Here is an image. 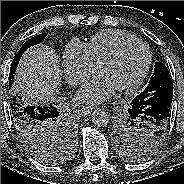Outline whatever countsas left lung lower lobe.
I'll use <instances>...</instances> for the list:
<instances>
[{
  "label": "left lung lower lobe",
  "mask_w": 184,
  "mask_h": 184,
  "mask_svg": "<svg viewBox=\"0 0 184 184\" xmlns=\"http://www.w3.org/2000/svg\"><path fill=\"white\" fill-rule=\"evenodd\" d=\"M172 80L161 77L151 81L131 102L129 112L144 125L154 129L156 136L167 130L173 97Z\"/></svg>",
  "instance_id": "obj_1"
}]
</instances>
